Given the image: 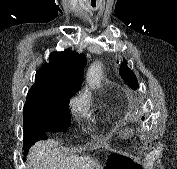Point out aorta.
Returning <instances> with one entry per match:
<instances>
[{
    "label": "aorta",
    "instance_id": "1",
    "mask_svg": "<svg viewBox=\"0 0 177 169\" xmlns=\"http://www.w3.org/2000/svg\"><path fill=\"white\" fill-rule=\"evenodd\" d=\"M102 77V66L99 62H94L88 69L86 75L87 84L95 89L98 88L101 84Z\"/></svg>",
    "mask_w": 177,
    "mask_h": 169
}]
</instances>
